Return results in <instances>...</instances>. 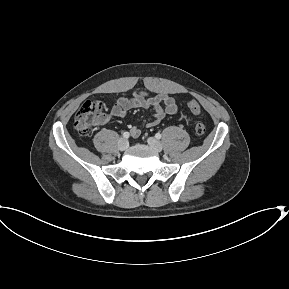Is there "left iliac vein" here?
<instances>
[{
	"label": "left iliac vein",
	"mask_w": 289,
	"mask_h": 289,
	"mask_svg": "<svg viewBox=\"0 0 289 289\" xmlns=\"http://www.w3.org/2000/svg\"><path fill=\"white\" fill-rule=\"evenodd\" d=\"M148 144L156 151V152H161L163 149L162 143L157 140L156 138L149 137L147 139Z\"/></svg>",
	"instance_id": "1"
}]
</instances>
